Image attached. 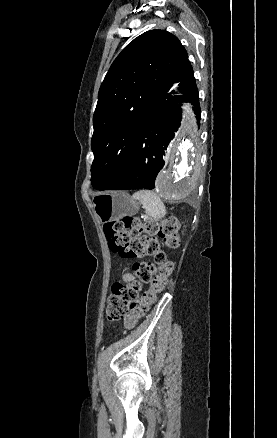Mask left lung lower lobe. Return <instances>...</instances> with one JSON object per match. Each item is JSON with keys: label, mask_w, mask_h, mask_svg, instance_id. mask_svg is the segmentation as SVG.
<instances>
[{"label": "left lung lower lobe", "mask_w": 277, "mask_h": 438, "mask_svg": "<svg viewBox=\"0 0 277 438\" xmlns=\"http://www.w3.org/2000/svg\"><path fill=\"white\" fill-rule=\"evenodd\" d=\"M181 110L168 100L152 97L144 108L131 157L120 177L105 190L153 189L164 166V151L174 138Z\"/></svg>", "instance_id": "obj_1"}]
</instances>
